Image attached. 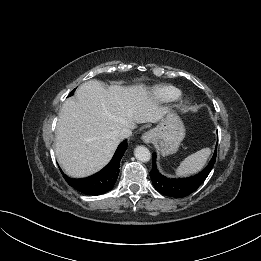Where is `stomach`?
I'll return each instance as SVG.
<instances>
[{
	"label": "stomach",
	"mask_w": 261,
	"mask_h": 261,
	"mask_svg": "<svg viewBox=\"0 0 261 261\" xmlns=\"http://www.w3.org/2000/svg\"><path fill=\"white\" fill-rule=\"evenodd\" d=\"M152 132L154 134V144L163 156L176 153L185 137L183 122L177 114L171 111L166 114Z\"/></svg>",
	"instance_id": "1"
}]
</instances>
